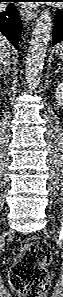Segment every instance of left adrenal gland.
Returning a JSON list of instances; mask_svg holds the SVG:
<instances>
[{
	"label": "left adrenal gland",
	"instance_id": "obj_1",
	"mask_svg": "<svg viewBox=\"0 0 63 297\" xmlns=\"http://www.w3.org/2000/svg\"><path fill=\"white\" fill-rule=\"evenodd\" d=\"M61 67H62V65L60 64V65H59V68L55 71V74H57V73L59 72V70L62 69Z\"/></svg>",
	"mask_w": 63,
	"mask_h": 297
}]
</instances>
